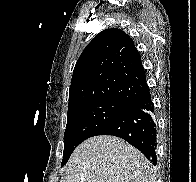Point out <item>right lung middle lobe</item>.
Wrapping results in <instances>:
<instances>
[{"label":"right lung middle lobe","mask_w":196,"mask_h":182,"mask_svg":"<svg viewBox=\"0 0 196 182\" xmlns=\"http://www.w3.org/2000/svg\"><path fill=\"white\" fill-rule=\"evenodd\" d=\"M130 107L131 105L127 103L102 99L69 110L61 166L67 163L70 155L81 142L92 137L102 126Z\"/></svg>","instance_id":"right-lung-middle-lobe-1"}]
</instances>
